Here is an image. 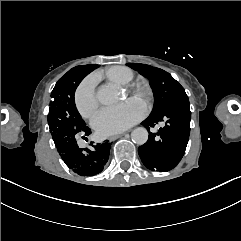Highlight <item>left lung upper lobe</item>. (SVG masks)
Segmentation results:
<instances>
[{
  "mask_svg": "<svg viewBox=\"0 0 241 241\" xmlns=\"http://www.w3.org/2000/svg\"><path fill=\"white\" fill-rule=\"evenodd\" d=\"M127 66L149 79L155 98L150 115L161 112L179 98L187 97L184 88L166 71L139 63H127Z\"/></svg>",
  "mask_w": 241,
  "mask_h": 241,
  "instance_id": "5c2ea615",
  "label": "left lung upper lobe"
}]
</instances>
